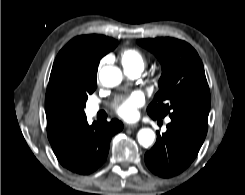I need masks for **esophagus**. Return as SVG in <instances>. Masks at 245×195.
I'll return each instance as SVG.
<instances>
[{
    "mask_svg": "<svg viewBox=\"0 0 245 195\" xmlns=\"http://www.w3.org/2000/svg\"><path fill=\"white\" fill-rule=\"evenodd\" d=\"M139 125L138 124H126V128H129V129H134V128H137Z\"/></svg>",
    "mask_w": 245,
    "mask_h": 195,
    "instance_id": "obj_1",
    "label": "esophagus"
}]
</instances>
